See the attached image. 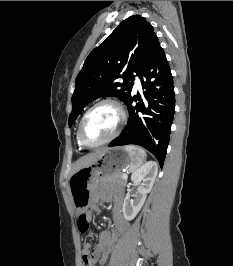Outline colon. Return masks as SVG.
I'll use <instances>...</instances> for the list:
<instances>
[{
    "instance_id": "colon-1",
    "label": "colon",
    "mask_w": 233,
    "mask_h": 266,
    "mask_svg": "<svg viewBox=\"0 0 233 266\" xmlns=\"http://www.w3.org/2000/svg\"><path fill=\"white\" fill-rule=\"evenodd\" d=\"M88 227H89V222H88L86 214H81L78 218V228L80 232L85 233L88 230ZM85 262L87 265H89L91 262V258L86 257Z\"/></svg>"
}]
</instances>
